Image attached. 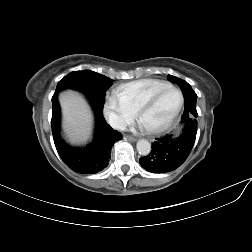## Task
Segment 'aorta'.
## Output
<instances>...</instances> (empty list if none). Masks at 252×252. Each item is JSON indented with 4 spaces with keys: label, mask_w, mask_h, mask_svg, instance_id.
Wrapping results in <instances>:
<instances>
[{
    "label": "aorta",
    "mask_w": 252,
    "mask_h": 252,
    "mask_svg": "<svg viewBox=\"0 0 252 252\" xmlns=\"http://www.w3.org/2000/svg\"><path fill=\"white\" fill-rule=\"evenodd\" d=\"M137 151L143 156H147L151 151V144L145 139H141L137 142Z\"/></svg>",
    "instance_id": "762f6f07"
}]
</instances>
